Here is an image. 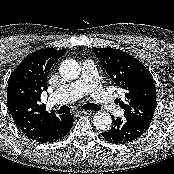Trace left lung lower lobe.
I'll return each instance as SVG.
<instances>
[{
	"instance_id": "1",
	"label": "left lung lower lobe",
	"mask_w": 174,
	"mask_h": 174,
	"mask_svg": "<svg viewBox=\"0 0 174 174\" xmlns=\"http://www.w3.org/2000/svg\"><path fill=\"white\" fill-rule=\"evenodd\" d=\"M112 127L101 133L106 141L113 144H125L139 138L148 130V125L134 120L112 118Z\"/></svg>"
}]
</instances>
